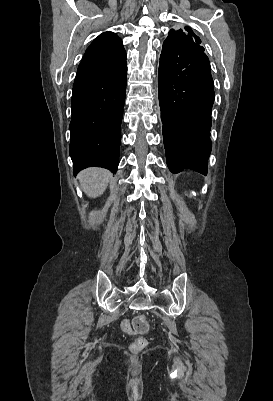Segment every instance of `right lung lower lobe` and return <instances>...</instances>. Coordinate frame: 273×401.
Instances as JSON below:
<instances>
[{
    "label": "right lung lower lobe",
    "instance_id": "right-lung-lower-lobe-1",
    "mask_svg": "<svg viewBox=\"0 0 273 401\" xmlns=\"http://www.w3.org/2000/svg\"><path fill=\"white\" fill-rule=\"evenodd\" d=\"M126 76L124 58L99 73L75 80L69 146L75 175L91 166L117 171Z\"/></svg>",
    "mask_w": 273,
    "mask_h": 401
}]
</instances>
